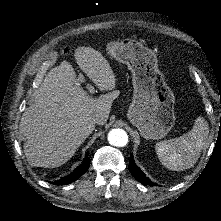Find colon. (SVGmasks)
I'll use <instances>...</instances> for the list:
<instances>
[{
  "label": "colon",
  "mask_w": 221,
  "mask_h": 221,
  "mask_svg": "<svg viewBox=\"0 0 221 221\" xmlns=\"http://www.w3.org/2000/svg\"><path fill=\"white\" fill-rule=\"evenodd\" d=\"M60 52H61V54H62L63 56H67V55L70 54V49H69L68 46H63V47L61 48Z\"/></svg>",
  "instance_id": "obj_1"
}]
</instances>
